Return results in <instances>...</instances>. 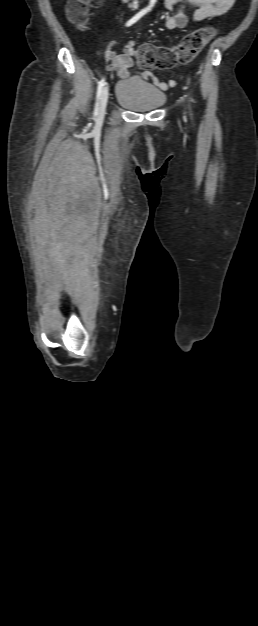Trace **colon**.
<instances>
[{"label": "colon", "mask_w": 258, "mask_h": 626, "mask_svg": "<svg viewBox=\"0 0 258 626\" xmlns=\"http://www.w3.org/2000/svg\"><path fill=\"white\" fill-rule=\"evenodd\" d=\"M87 0H70L67 6L69 20L78 27L87 22ZM215 30L210 27L197 29L175 47L162 49L151 44L136 48L130 41L126 50L136 57L138 65L145 69H167L178 62H187L195 57L201 49L214 37Z\"/></svg>", "instance_id": "5ec220e1"}]
</instances>
